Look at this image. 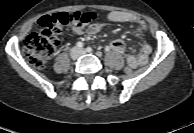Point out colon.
Wrapping results in <instances>:
<instances>
[{
  "mask_svg": "<svg viewBox=\"0 0 194 133\" xmlns=\"http://www.w3.org/2000/svg\"><path fill=\"white\" fill-rule=\"evenodd\" d=\"M97 15L94 12L56 13L46 15L39 20L41 29L29 34L23 42V52L30 65L42 68L53 54L58 35L64 27L70 26L74 31H82L87 25L94 22ZM133 68L123 67L124 75H131Z\"/></svg>",
  "mask_w": 194,
  "mask_h": 133,
  "instance_id": "1",
  "label": "colon"
}]
</instances>
